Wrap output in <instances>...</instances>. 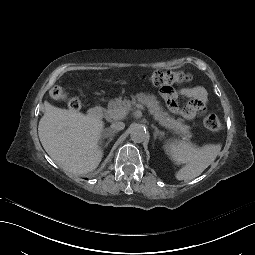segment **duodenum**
<instances>
[{
    "instance_id": "1",
    "label": "duodenum",
    "mask_w": 255,
    "mask_h": 255,
    "mask_svg": "<svg viewBox=\"0 0 255 255\" xmlns=\"http://www.w3.org/2000/svg\"><path fill=\"white\" fill-rule=\"evenodd\" d=\"M103 110L100 106H95L88 111V116L91 119L98 120L102 117Z\"/></svg>"
}]
</instances>
